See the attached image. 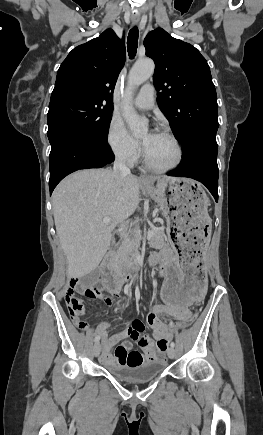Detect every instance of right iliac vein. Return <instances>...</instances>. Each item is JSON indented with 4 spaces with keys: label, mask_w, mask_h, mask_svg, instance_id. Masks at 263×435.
Wrapping results in <instances>:
<instances>
[{
    "label": "right iliac vein",
    "mask_w": 263,
    "mask_h": 435,
    "mask_svg": "<svg viewBox=\"0 0 263 435\" xmlns=\"http://www.w3.org/2000/svg\"><path fill=\"white\" fill-rule=\"evenodd\" d=\"M100 352H101L100 343L96 342L94 347H93V354H94L95 357H97V356H99Z\"/></svg>",
    "instance_id": "63e3f726"
}]
</instances>
